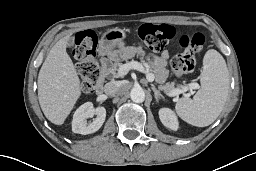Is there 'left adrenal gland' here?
Returning a JSON list of instances; mask_svg holds the SVG:
<instances>
[{
  "label": "left adrenal gland",
  "instance_id": "left-adrenal-gland-1",
  "mask_svg": "<svg viewBox=\"0 0 256 171\" xmlns=\"http://www.w3.org/2000/svg\"><path fill=\"white\" fill-rule=\"evenodd\" d=\"M151 89L154 92V97L156 99V101L158 102L160 98L164 99V96L161 94V92L159 90H157L154 85H151Z\"/></svg>",
  "mask_w": 256,
  "mask_h": 171
}]
</instances>
